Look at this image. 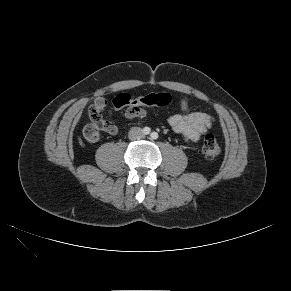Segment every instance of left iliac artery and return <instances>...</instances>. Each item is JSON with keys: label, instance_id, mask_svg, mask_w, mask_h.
<instances>
[{"label": "left iliac artery", "instance_id": "44dca946", "mask_svg": "<svg viewBox=\"0 0 291 291\" xmlns=\"http://www.w3.org/2000/svg\"><path fill=\"white\" fill-rule=\"evenodd\" d=\"M158 137H159V135H158L157 132H152V133H151V138H152V139L155 140V139H157Z\"/></svg>", "mask_w": 291, "mask_h": 291}]
</instances>
